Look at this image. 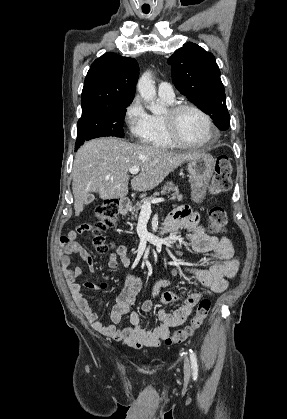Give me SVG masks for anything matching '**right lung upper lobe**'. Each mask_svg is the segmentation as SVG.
I'll return each mask as SVG.
<instances>
[{
  "label": "right lung upper lobe",
  "mask_w": 287,
  "mask_h": 419,
  "mask_svg": "<svg viewBox=\"0 0 287 419\" xmlns=\"http://www.w3.org/2000/svg\"><path fill=\"white\" fill-rule=\"evenodd\" d=\"M139 76L135 59L106 53L96 59L85 78L82 112L106 105L131 103Z\"/></svg>",
  "instance_id": "1"
}]
</instances>
